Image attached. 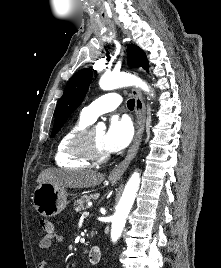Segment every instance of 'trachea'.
<instances>
[{
    "label": "trachea",
    "instance_id": "obj_1",
    "mask_svg": "<svg viewBox=\"0 0 221 268\" xmlns=\"http://www.w3.org/2000/svg\"><path fill=\"white\" fill-rule=\"evenodd\" d=\"M134 106H135V100L134 99H130V100L127 101L128 109L133 110Z\"/></svg>",
    "mask_w": 221,
    "mask_h": 268
}]
</instances>
